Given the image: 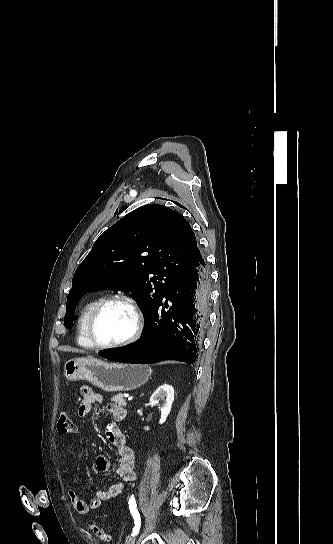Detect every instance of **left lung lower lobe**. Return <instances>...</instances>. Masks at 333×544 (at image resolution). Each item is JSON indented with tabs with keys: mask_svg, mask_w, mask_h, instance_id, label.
I'll return each mask as SVG.
<instances>
[{
	"mask_svg": "<svg viewBox=\"0 0 333 544\" xmlns=\"http://www.w3.org/2000/svg\"><path fill=\"white\" fill-rule=\"evenodd\" d=\"M210 277L203 257L188 267L146 315V327L133 344L98 354L121 362L157 363L198 359L207 322Z\"/></svg>",
	"mask_w": 333,
	"mask_h": 544,
	"instance_id": "obj_1",
	"label": "left lung lower lobe"
}]
</instances>
